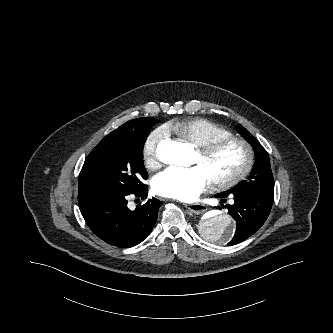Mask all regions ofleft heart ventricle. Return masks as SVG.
Listing matches in <instances>:
<instances>
[{
  "mask_svg": "<svg viewBox=\"0 0 333 333\" xmlns=\"http://www.w3.org/2000/svg\"><path fill=\"white\" fill-rule=\"evenodd\" d=\"M243 161L244 153L242 148L236 144H229L207 158H203L197 153L193 163L200 165L212 180L226 177L236 172L243 164Z\"/></svg>",
  "mask_w": 333,
  "mask_h": 333,
  "instance_id": "b2bd125f",
  "label": "left heart ventricle"
}]
</instances>
